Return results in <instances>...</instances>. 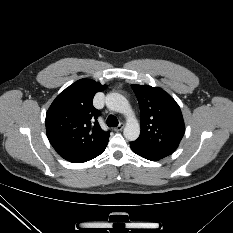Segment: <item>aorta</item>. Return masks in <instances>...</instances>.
Segmentation results:
<instances>
[{"instance_id": "aorta-1", "label": "aorta", "mask_w": 233, "mask_h": 233, "mask_svg": "<svg viewBox=\"0 0 233 233\" xmlns=\"http://www.w3.org/2000/svg\"><path fill=\"white\" fill-rule=\"evenodd\" d=\"M106 106L110 110L126 115L127 121L123 131L124 137L129 141H135L140 135V125L128 100L119 93H109L106 96Z\"/></svg>"}]
</instances>
